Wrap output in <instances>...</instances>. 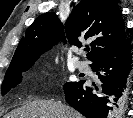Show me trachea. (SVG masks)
Here are the masks:
<instances>
[{"label":"trachea","instance_id":"obj_1","mask_svg":"<svg viewBox=\"0 0 133 118\" xmlns=\"http://www.w3.org/2000/svg\"><path fill=\"white\" fill-rule=\"evenodd\" d=\"M85 51H87V52H88V51H89V48H86V49H85Z\"/></svg>","mask_w":133,"mask_h":118}]
</instances>
